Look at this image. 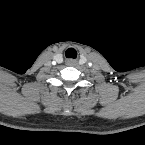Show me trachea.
<instances>
[{"instance_id":"3493384b","label":"trachea","mask_w":145,"mask_h":145,"mask_svg":"<svg viewBox=\"0 0 145 145\" xmlns=\"http://www.w3.org/2000/svg\"><path fill=\"white\" fill-rule=\"evenodd\" d=\"M65 55L67 58H76L77 52L73 48H69L66 50Z\"/></svg>"}]
</instances>
